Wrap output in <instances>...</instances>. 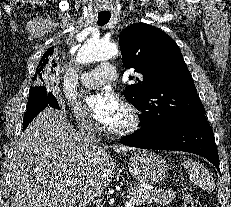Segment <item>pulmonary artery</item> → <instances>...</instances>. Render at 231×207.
<instances>
[{
	"label": "pulmonary artery",
	"mask_w": 231,
	"mask_h": 207,
	"mask_svg": "<svg viewBox=\"0 0 231 207\" xmlns=\"http://www.w3.org/2000/svg\"><path fill=\"white\" fill-rule=\"evenodd\" d=\"M118 77V72L113 64L102 63L96 69L85 72L82 83L87 87H96L104 82L114 81Z\"/></svg>",
	"instance_id": "pulmonary-artery-1"
}]
</instances>
